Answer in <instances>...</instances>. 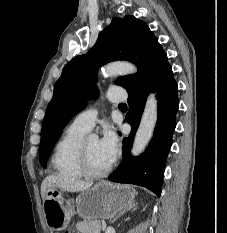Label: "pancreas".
<instances>
[{"instance_id": "cf45deb5", "label": "pancreas", "mask_w": 227, "mask_h": 233, "mask_svg": "<svg viewBox=\"0 0 227 233\" xmlns=\"http://www.w3.org/2000/svg\"><path fill=\"white\" fill-rule=\"evenodd\" d=\"M76 228L80 233H100L102 229L99 221L87 219L77 222Z\"/></svg>"}]
</instances>
